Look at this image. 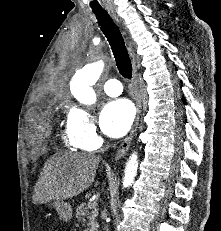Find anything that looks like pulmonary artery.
<instances>
[{
    "instance_id": "1",
    "label": "pulmonary artery",
    "mask_w": 221,
    "mask_h": 231,
    "mask_svg": "<svg viewBox=\"0 0 221 231\" xmlns=\"http://www.w3.org/2000/svg\"><path fill=\"white\" fill-rule=\"evenodd\" d=\"M104 91L108 96L116 97L122 93V85L116 79H110L104 84Z\"/></svg>"
}]
</instances>
